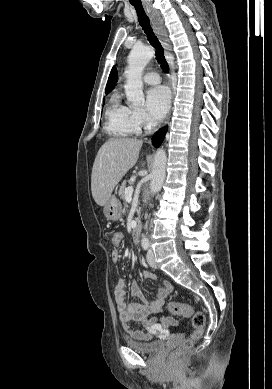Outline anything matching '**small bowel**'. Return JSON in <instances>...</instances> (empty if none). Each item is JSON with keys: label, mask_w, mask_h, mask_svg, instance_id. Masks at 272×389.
Returning a JSON list of instances; mask_svg holds the SVG:
<instances>
[{"label": "small bowel", "mask_w": 272, "mask_h": 389, "mask_svg": "<svg viewBox=\"0 0 272 389\" xmlns=\"http://www.w3.org/2000/svg\"><path fill=\"white\" fill-rule=\"evenodd\" d=\"M120 253L114 251L112 260L118 262ZM144 277L151 280H157V277L150 273L144 272ZM132 293L139 299L138 302L131 304L126 303V283L120 279L117 281L114 288L115 301L119 318L124 331L132 338L137 340H150L158 332L161 324H173L175 321L171 317L160 316L159 313L163 310L164 301L172 291V286L168 282H162L156 294V297L151 302L146 301L136 282L131 283ZM140 321L144 330H137L131 324Z\"/></svg>", "instance_id": "1"}]
</instances>
